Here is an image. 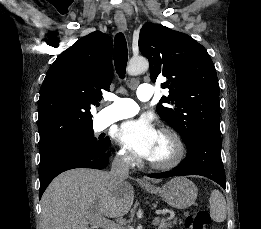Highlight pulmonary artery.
<instances>
[{
  "label": "pulmonary artery",
  "mask_w": 261,
  "mask_h": 229,
  "mask_svg": "<svg viewBox=\"0 0 261 229\" xmlns=\"http://www.w3.org/2000/svg\"><path fill=\"white\" fill-rule=\"evenodd\" d=\"M153 87L152 85L150 86ZM150 87L141 85L136 90L137 98L142 101H147L152 97V89ZM112 104L103 109V117L106 122L113 123L119 120L131 117L138 112V106L131 99L119 98L115 95L110 97Z\"/></svg>",
  "instance_id": "e3ab8cb5"
}]
</instances>
